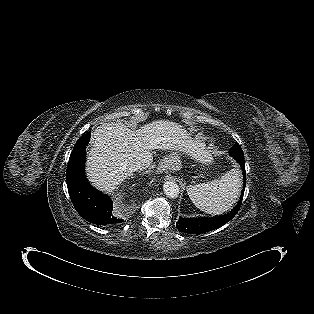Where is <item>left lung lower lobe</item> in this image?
Here are the masks:
<instances>
[{"instance_id":"obj_1","label":"left lung lower lobe","mask_w":314,"mask_h":314,"mask_svg":"<svg viewBox=\"0 0 314 314\" xmlns=\"http://www.w3.org/2000/svg\"><path fill=\"white\" fill-rule=\"evenodd\" d=\"M237 162L241 165L242 171H243V177H244V184L243 189L241 193V198L237 204V206L230 211L228 214L219 216V217H212V218H182L180 217L178 222L176 223V227L179 231L184 233H190V234H201L205 233L211 230H215L217 228H220L224 224H226L228 221H230L236 213L239 211L245 186H246V174H245V165H244V159H236Z\"/></svg>"}]
</instances>
